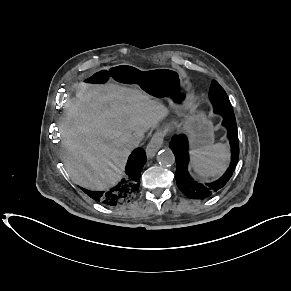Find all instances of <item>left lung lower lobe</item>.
Returning a JSON list of instances; mask_svg holds the SVG:
<instances>
[{
  "mask_svg": "<svg viewBox=\"0 0 291 291\" xmlns=\"http://www.w3.org/2000/svg\"><path fill=\"white\" fill-rule=\"evenodd\" d=\"M213 105L215 107L214 102ZM216 105L220 106L221 102L216 100ZM215 113L221 114L224 118L222 124L227 128V137L231 146V163L221 178L211 183L195 181L188 172L189 153L187 137L185 135L175 136L170 143V148L175 155L177 165L175 171L177 186L185 196L191 199L203 200L219 192L231 178L238 162L239 140L234 112L232 109L221 107Z\"/></svg>",
  "mask_w": 291,
  "mask_h": 291,
  "instance_id": "obj_1",
  "label": "left lung lower lobe"
}]
</instances>
